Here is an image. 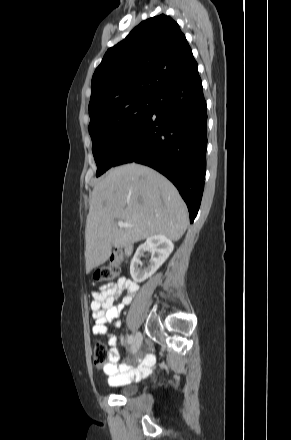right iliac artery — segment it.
Returning <instances> with one entry per match:
<instances>
[{
  "label": "right iliac artery",
  "instance_id": "right-iliac-artery-1",
  "mask_svg": "<svg viewBox=\"0 0 291 440\" xmlns=\"http://www.w3.org/2000/svg\"><path fill=\"white\" fill-rule=\"evenodd\" d=\"M133 343V336L130 335L128 336V344H132Z\"/></svg>",
  "mask_w": 291,
  "mask_h": 440
}]
</instances>
